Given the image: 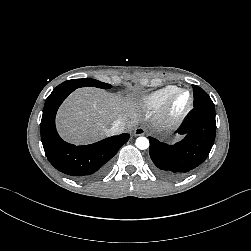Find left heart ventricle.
<instances>
[{
    "mask_svg": "<svg viewBox=\"0 0 251 251\" xmlns=\"http://www.w3.org/2000/svg\"><path fill=\"white\" fill-rule=\"evenodd\" d=\"M186 100H187L186 95L179 96L174 103V108L178 109L182 107L184 103L186 102Z\"/></svg>",
    "mask_w": 251,
    "mask_h": 251,
    "instance_id": "b2bd125f",
    "label": "left heart ventricle"
}]
</instances>
